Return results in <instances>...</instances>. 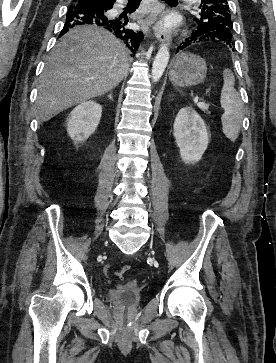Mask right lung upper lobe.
Returning a JSON list of instances; mask_svg holds the SVG:
<instances>
[{
    "mask_svg": "<svg viewBox=\"0 0 276 363\" xmlns=\"http://www.w3.org/2000/svg\"><path fill=\"white\" fill-rule=\"evenodd\" d=\"M73 1H77V0H73ZM97 1H99L102 4H114V2L116 0H97Z\"/></svg>",
    "mask_w": 276,
    "mask_h": 363,
    "instance_id": "obj_1",
    "label": "right lung upper lobe"
}]
</instances>
